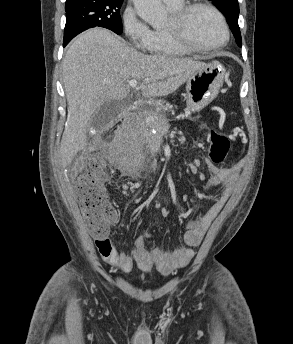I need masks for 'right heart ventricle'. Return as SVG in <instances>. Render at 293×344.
<instances>
[{
	"mask_svg": "<svg viewBox=\"0 0 293 344\" xmlns=\"http://www.w3.org/2000/svg\"><path fill=\"white\" fill-rule=\"evenodd\" d=\"M183 0L180 2L168 5L171 11L181 7ZM147 52L153 56L159 57H181L190 54V51L186 50L179 44H177L165 30L154 31V36L151 44L149 45Z\"/></svg>",
	"mask_w": 293,
	"mask_h": 344,
	"instance_id": "obj_1",
	"label": "right heart ventricle"
}]
</instances>
